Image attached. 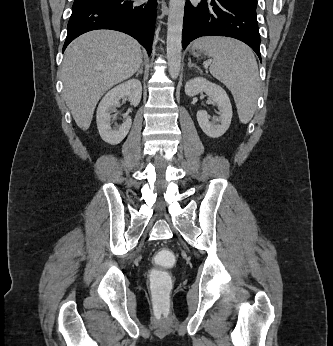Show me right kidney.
<instances>
[{"mask_svg": "<svg viewBox=\"0 0 333 346\" xmlns=\"http://www.w3.org/2000/svg\"><path fill=\"white\" fill-rule=\"evenodd\" d=\"M142 95V85L137 79H130L113 89H111L101 100L97 108V128L101 138L111 144H119L128 134L132 125V120L127 117L122 125L111 128V112L121 98L128 97L133 106L140 103Z\"/></svg>", "mask_w": 333, "mask_h": 346, "instance_id": "ca27d5eb", "label": "right kidney"}]
</instances>
